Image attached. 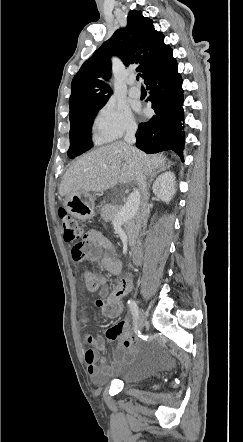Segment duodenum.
Listing matches in <instances>:
<instances>
[{"label":"duodenum","instance_id":"obj_1","mask_svg":"<svg viewBox=\"0 0 243 442\" xmlns=\"http://www.w3.org/2000/svg\"><path fill=\"white\" fill-rule=\"evenodd\" d=\"M130 258L134 264L141 263V260H142L141 251L138 248H133L130 252Z\"/></svg>","mask_w":243,"mask_h":442}]
</instances>
